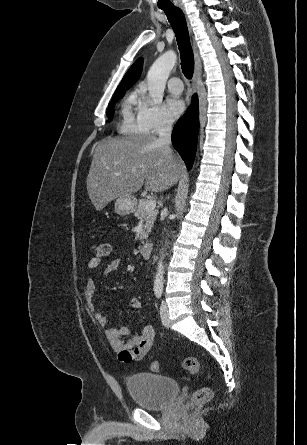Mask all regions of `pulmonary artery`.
<instances>
[{
  "instance_id": "1",
  "label": "pulmonary artery",
  "mask_w": 307,
  "mask_h": 445,
  "mask_svg": "<svg viewBox=\"0 0 307 445\" xmlns=\"http://www.w3.org/2000/svg\"><path fill=\"white\" fill-rule=\"evenodd\" d=\"M181 79V76L177 72H173L168 82V89L174 95H179L183 91L184 84L182 81H174Z\"/></svg>"
}]
</instances>
